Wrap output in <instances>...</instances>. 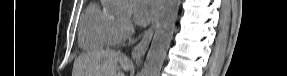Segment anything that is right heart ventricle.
<instances>
[{
  "label": "right heart ventricle",
  "instance_id": "1",
  "mask_svg": "<svg viewBox=\"0 0 287 76\" xmlns=\"http://www.w3.org/2000/svg\"><path fill=\"white\" fill-rule=\"evenodd\" d=\"M116 18L98 4L87 7L79 29V43L87 50L108 48L118 43L115 33Z\"/></svg>",
  "mask_w": 287,
  "mask_h": 76
}]
</instances>
